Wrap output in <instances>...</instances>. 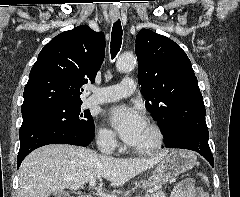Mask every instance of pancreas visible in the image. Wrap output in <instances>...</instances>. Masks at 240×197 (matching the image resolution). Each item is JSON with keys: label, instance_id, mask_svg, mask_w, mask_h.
Segmentation results:
<instances>
[{"label": "pancreas", "instance_id": "pancreas-1", "mask_svg": "<svg viewBox=\"0 0 240 197\" xmlns=\"http://www.w3.org/2000/svg\"><path fill=\"white\" fill-rule=\"evenodd\" d=\"M144 197H166L165 193L164 192H161V191H153L151 194H148Z\"/></svg>", "mask_w": 240, "mask_h": 197}]
</instances>
